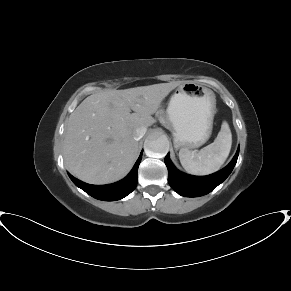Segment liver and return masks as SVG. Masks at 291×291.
<instances>
[{
    "label": "liver",
    "mask_w": 291,
    "mask_h": 291,
    "mask_svg": "<svg viewBox=\"0 0 291 291\" xmlns=\"http://www.w3.org/2000/svg\"><path fill=\"white\" fill-rule=\"evenodd\" d=\"M179 84L106 90L85 98L69 116L65 130L67 169L80 180L96 185L125 177L139 153L133 132L155 123L152 114Z\"/></svg>",
    "instance_id": "1"
}]
</instances>
